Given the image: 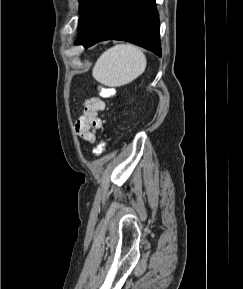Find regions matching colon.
<instances>
[{"mask_svg":"<svg viewBox=\"0 0 243 289\" xmlns=\"http://www.w3.org/2000/svg\"><path fill=\"white\" fill-rule=\"evenodd\" d=\"M98 90H99L100 95L102 97H104V98H110L115 93L114 89L111 88V87L100 86L98 88ZM105 148H106V141L105 140H101L100 143L94 149V153L96 155H101L105 151Z\"/></svg>","mask_w":243,"mask_h":289,"instance_id":"colon-1","label":"colon"}]
</instances>
